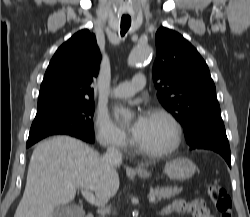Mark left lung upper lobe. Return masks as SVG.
I'll use <instances>...</instances> for the list:
<instances>
[{"label": "left lung upper lobe", "mask_w": 250, "mask_h": 217, "mask_svg": "<svg viewBox=\"0 0 250 217\" xmlns=\"http://www.w3.org/2000/svg\"><path fill=\"white\" fill-rule=\"evenodd\" d=\"M155 43L157 97L181 123L187 139L207 122L221 119L215 85L203 58L179 33L161 27Z\"/></svg>", "instance_id": "obj_1"}]
</instances>
